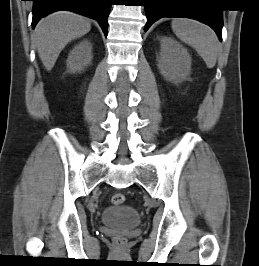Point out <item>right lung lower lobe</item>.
Returning <instances> with one entry per match:
<instances>
[{
  "mask_svg": "<svg viewBox=\"0 0 259 266\" xmlns=\"http://www.w3.org/2000/svg\"><path fill=\"white\" fill-rule=\"evenodd\" d=\"M35 27L40 18L57 10H69L97 20L105 34L108 33V16L111 0H32Z\"/></svg>",
  "mask_w": 259,
  "mask_h": 266,
  "instance_id": "1",
  "label": "right lung lower lobe"
}]
</instances>
